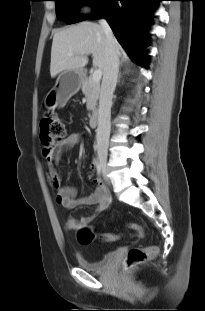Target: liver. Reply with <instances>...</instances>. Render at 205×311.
I'll return each instance as SVG.
<instances>
[{
	"label": "liver",
	"mask_w": 205,
	"mask_h": 311,
	"mask_svg": "<svg viewBox=\"0 0 205 311\" xmlns=\"http://www.w3.org/2000/svg\"><path fill=\"white\" fill-rule=\"evenodd\" d=\"M116 40V39H115ZM107 38L101 25L84 21L57 31L51 48L50 75L52 78L65 70H82L92 54L93 66L103 73L106 68ZM118 55L122 47L116 40ZM72 53V56L68 54Z\"/></svg>",
	"instance_id": "6515ba94"
}]
</instances>
